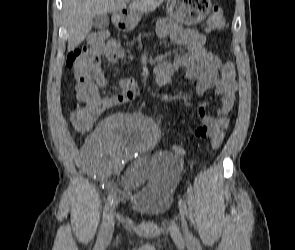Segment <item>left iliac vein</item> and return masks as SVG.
Wrapping results in <instances>:
<instances>
[{
	"instance_id": "4c4485c4",
	"label": "left iliac vein",
	"mask_w": 295,
	"mask_h": 250,
	"mask_svg": "<svg viewBox=\"0 0 295 250\" xmlns=\"http://www.w3.org/2000/svg\"><path fill=\"white\" fill-rule=\"evenodd\" d=\"M180 214H181V221H182V230H183V233H184V236L186 239H189L190 238V232L188 230V226H187V222H186V219L184 217V211L183 209L180 207Z\"/></svg>"
}]
</instances>
